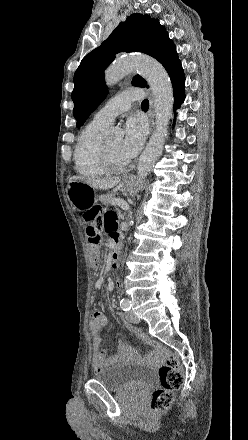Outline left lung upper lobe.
Instances as JSON below:
<instances>
[{"mask_svg": "<svg viewBox=\"0 0 248 440\" xmlns=\"http://www.w3.org/2000/svg\"><path fill=\"white\" fill-rule=\"evenodd\" d=\"M118 52L146 53L158 60L171 78L184 75L176 48L165 28L149 15L132 14L118 25L107 40L82 59L75 72L72 100L77 127L83 125L106 96L104 70ZM132 84L147 86L139 75L133 77Z\"/></svg>", "mask_w": 248, "mask_h": 440, "instance_id": "left-lung-upper-lobe-1", "label": "left lung upper lobe"}]
</instances>
